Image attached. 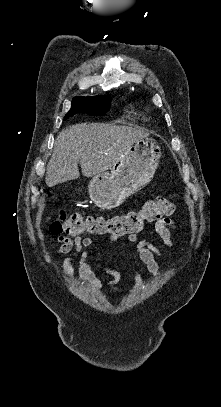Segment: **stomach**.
Listing matches in <instances>:
<instances>
[{
	"mask_svg": "<svg viewBox=\"0 0 221 407\" xmlns=\"http://www.w3.org/2000/svg\"><path fill=\"white\" fill-rule=\"evenodd\" d=\"M160 144L151 137L136 141L112 166L90 180L88 192L94 204L112 209L145 187L153 178L162 155Z\"/></svg>",
	"mask_w": 221,
	"mask_h": 407,
	"instance_id": "stomach-1",
	"label": "stomach"
}]
</instances>
